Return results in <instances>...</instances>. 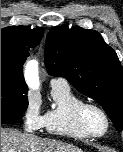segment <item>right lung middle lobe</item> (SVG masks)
Returning a JSON list of instances; mask_svg holds the SVG:
<instances>
[{"label": "right lung middle lobe", "mask_w": 123, "mask_h": 152, "mask_svg": "<svg viewBox=\"0 0 123 152\" xmlns=\"http://www.w3.org/2000/svg\"><path fill=\"white\" fill-rule=\"evenodd\" d=\"M27 86L17 78L1 74V124L22 117L28 106Z\"/></svg>", "instance_id": "1"}]
</instances>
